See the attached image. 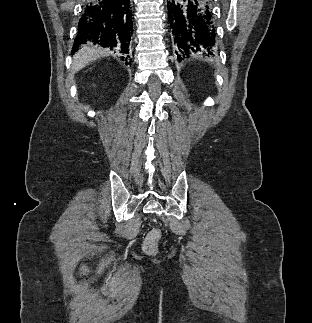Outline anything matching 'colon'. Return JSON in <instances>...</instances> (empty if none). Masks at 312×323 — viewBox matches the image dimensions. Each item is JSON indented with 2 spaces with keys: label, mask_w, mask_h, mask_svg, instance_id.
<instances>
[{
  "label": "colon",
  "mask_w": 312,
  "mask_h": 323,
  "mask_svg": "<svg viewBox=\"0 0 312 323\" xmlns=\"http://www.w3.org/2000/svg\"><path fill=\"white\" fill-rule=\"evenodd\" d=\"M158 248V234L154 232L148 235L143 241V249L147 253L156 252Z\"/></svg>",
  "instance_id": "1"
}]
</instances>
